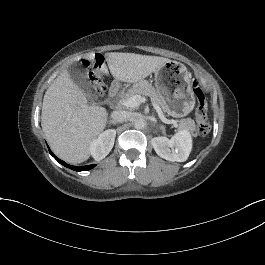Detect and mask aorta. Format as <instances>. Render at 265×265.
<instances>
[{
	"instance_id": "1",
	"label": "aorta",
	"mask_w": 265,
	"mask_h": 265,
	"mask_svg": "<svg viewBox=\"0 0 265 265\" xmlns=\"http://www.w3.org/2000/svg\"><path fill=\"white\" fill-rule=\"evenodd\" d=\"M134 125H135V128H136V129H143V128L146 126V123H145V120H144V119H142V118H137V119L135 120Z\"/></svg>"
}]
</instances>
